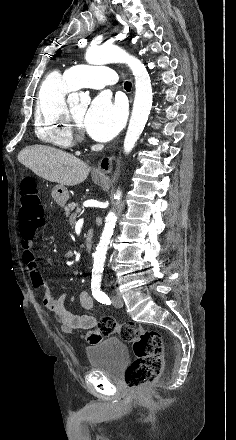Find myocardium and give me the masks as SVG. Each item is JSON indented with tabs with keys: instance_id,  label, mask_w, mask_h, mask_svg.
I'll return each instance as SVG.
<instances>
[{
	"instance_id": "myocardium-1",
	"label": "myocardium",
	"mask_w": 236,
	"mask_h": 440,
	"mask_svg": "<svg viewBox=\"0 0 236 440\" xmlns=\"http://www.w3.org/2000/svg\"><path fill=\"white\" fill-rule=\"evenodd\" d=\"M66 118H67L69 130H70L72 136L76 140H82L84 138L83 128L76 121L71 109H67Z\"/></svg>"
}]
</instances>
